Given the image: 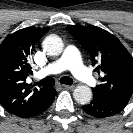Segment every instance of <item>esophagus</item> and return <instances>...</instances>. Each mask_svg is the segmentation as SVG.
<instances>
[{"instance_id":"1","label":"esophagus","mask_w":133,"mask_h":133,"mask_svg":"<svg viewBox=\"0 0 133 133\" xmlns=\"http://www.w3.org/2000/svg\"><path fill=\"white\" fill-rule=\"evenodd\" d=\"M65 89H73L74 85H67V84H63L62 85Z\"/></svg>"}]
</instances>
